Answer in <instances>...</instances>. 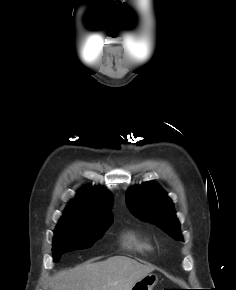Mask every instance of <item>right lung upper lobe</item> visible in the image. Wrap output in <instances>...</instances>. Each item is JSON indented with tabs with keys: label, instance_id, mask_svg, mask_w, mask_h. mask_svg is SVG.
I'll list each match as a JSON object with an SVG mask.
<instances>
[{
	"label": "right lung upper lobe",
	"instance_id": "right-lung-upper-lobe-1",
	"mask_svg": "<svg viewBox=\"0 0 236 290\" xmlns=\"http://www.w3.org/2000/svg\"><path fill=\"white\" fill-rule=\"evenodd\" d=\"M112 205L113 198L105 189H82L76 198L69 203L62 219L89 220L113 217Z\"/></svg>",
	"mask_w": 236,
	"mask_h": 290
}]
</instances>
